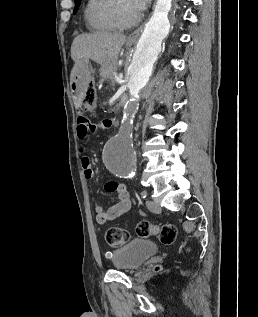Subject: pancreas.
Segmentation results:
<instances>
[{
	"mask_svg": "<svg viewBox=\"0 0 258 317\" xmlns=\"http://www.w3.org/2000/svg\"><path fill=\"white\" fill-rule=\"evenodd\" d=\"M107 81H108L109 84H111L110 87H111V89H112L113 91L118 89L119 86H118L117 83H115L116 80H115L114 77H109Z\"/></svg>",
	"mask_w": 258,
	"mask_h": 317,
	"instance_id": "1",
	"label": "pancreas"
}]
</instances>
